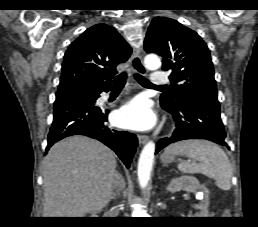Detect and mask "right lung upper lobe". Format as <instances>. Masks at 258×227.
Here are the masks:
<instances>
[{
    "label": "right lung upper lobe",
    "mask_w": 258,
    "mask_h": 227,
    "mask_svg": "<svg viewBox=\"0 0 258 227\" xmlns=\"http://www.w3.org/2000/svg\"><path fill=\"white\" fill-rule=\"evenodd\" d=\"M131 52L111 26L90 27L66 51L57 92L88 85L110 87L116 66L127 61Z\"/></svg>",
    "instance_id": "1"
}]
</instances>
